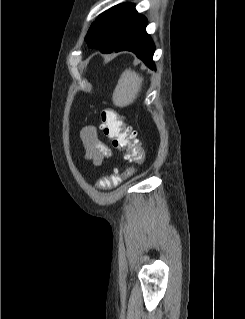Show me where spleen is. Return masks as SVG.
Masks as SVG:
<instances>
[{"mask_svg":"<svg viewBox=\"0 0 245 319\" xmlns=\"http://www.w3.org/2000/svg\"><path fill=\"white\" fill-rule=\"evenodd\" d=\"M143 78L132 71L126 69L120 76L114 89L112 100L115 106L125 107L134 102L142 87Z\"/></svg>","mask_w":245,"mask_h":319,"instance_id":"3e777b00","label":"spleen"}]
</instances>
